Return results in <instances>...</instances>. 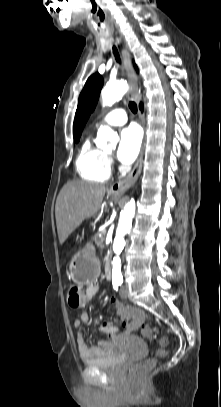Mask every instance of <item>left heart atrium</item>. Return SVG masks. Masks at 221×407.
<instances>
[{
    "instance_id": "1",
    "label": "left heart atrium",
    "mask_w": 221,
    "mask_h": 407,
    "mask_svg": "<svg viewBox=\"0 0 221 407\" xmlns=\"http://www.w3.org/2000/svg\"><path fill=\"white\" fill-rule=\"evenodd\" d=\"M141 132L136 126L121 131L117 158L123 164L132 163L138 156L141 146Z\"/></svg>"
}]
</instances>
